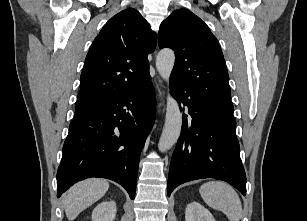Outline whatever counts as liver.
<instances>
[{
	"label": "liver",
	"instance_id": "1",
	"mask_svg": "<svg viewBox=\"0 0 307 221\" xmlns=\"http://www.w3.org/2000/svg\"><path fill=\"white\" fill-rule=\"evenodd\" d=\"M109 188L108 181L91 178L72 186L63 197L68 220H74L83 210L101 199Z\"/></svg>",
	"mask_w": 307,
	"mask_h": 221
}]
</instances>
